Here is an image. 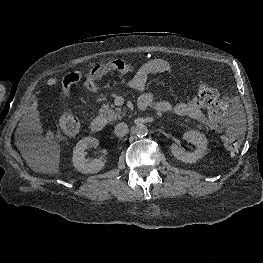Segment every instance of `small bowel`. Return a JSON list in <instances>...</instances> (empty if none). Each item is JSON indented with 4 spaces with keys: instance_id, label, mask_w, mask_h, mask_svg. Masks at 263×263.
Listing matches in <instances>:
<instances>
[{
    "instance_id": "small-bowel-1",
    "label": "small bowel",
    "mask_w": 263,
    "mask_h": 263,
    "mask_svg": "<svg viewBox=\"0 0 263 263\" xmlns=\"http://www.w3.org/2000/svg\"><path fill=\"white\" fill-rule=\"evenodd\" d=\"M122 62L126 65L125 62L121 60L111 61L106 64H101L93 67L87 74H84L81 71H75L67 74L61 80V89L64 96L68 97L70 95L71 87L83 80V85L85 89L91 94H97L99 91L98 80L102 78L105 74L111 71H118L121 73H127L131 70L130 67H126L122 70L117 69L115 62ZM151 74H167L171 77L174 76L173 69L171 65L164 59L152 58L142 64L134 76L124 82V84L141 93L139 103L148 106H155V108L160 112H170L173 111L175 114L184 117H190L195 119L203 124H205L209 129L213 131L219 130V123L217 119L211 117L210 115H205L202 111V104L198 101V98L179 102L175 105H172L166 100L156 101L154 95L149 92L150 83L148 77ZM58 83L57 78L50 77L46 80V86L51 88L56 86ZM39 95L33 97L30 113L28 115L30 124L35 128L37 127V107H38ZM45 138L48 141H51L54 138L52 132H47Z\"/></svg>"
}]
</instances>
